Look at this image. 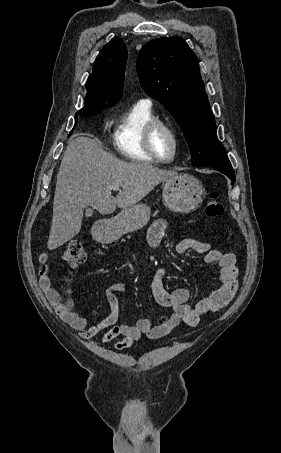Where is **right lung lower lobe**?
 <instances>
[{
  "instance_id": "1",
  "label": "right lung lower lobe",
  "mask_w": 281,
  "mask_h": 453,
  "mask_svg": "<svg viewBox=\"0 0 281 453\" xmlns=\"http://www.w3.org/2000/svg\"><path fill=\"white\" fill-rule=\"evenodd\" d=\"M79 114H82V115H84V116H92V115L97 114V112H79V111H78V113L76 114V122H77V116H78Z\"/></svg>"
}]
</instances>
